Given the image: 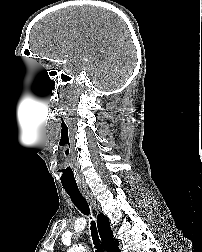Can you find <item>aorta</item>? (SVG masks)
I'll return each instance as SVG.
<instances>
[{
    "label": "aorta",
    "mask_w": 202,
    "mask_h": 252,
    "mask_svg": "<svg viewBox=\"0 0 202 252\" xmlns=\"http://www.w3.org/2000/svg\"><path fill=\"white\" fill-rule=\"evenodd\" d=\"M67 252H83V249H82V247L73 246V247L69 248Z\"/></svg>",
    "instance_id": "aorta-1"
}]
</instances>
